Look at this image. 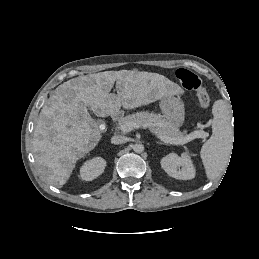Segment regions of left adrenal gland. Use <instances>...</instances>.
I'll return each instance as SVG.
<instances>
[{"label": "left adrenal gland", "mask_w": 259, "mask_h": 259, "mask_svg": "<svg viewBox=\"0 0 259 259\" xmlns=\"http://www.w3.org/2000/svg\"><path fill=\"white\" fill-rule=\"evenodd\" d=\"M156 143H157V144H161V145H162V144H163V145H166L165 142L163 143V142H159V141H158V142H156Z\"/></svg>", "instance_id": "obj_1"}]
</instances>
